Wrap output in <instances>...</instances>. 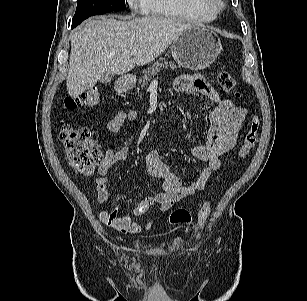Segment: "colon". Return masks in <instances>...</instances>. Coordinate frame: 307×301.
<instances>
[{"instance_id":"obj_1","label":"colon","mask_w":307,"mask_h":301,"mask_svg":"<svg viewBox=\"0 0 307 301\" xmlns=\"http://www.w3.org/2000/svg\"><path fill=\"white\" fill-rule=\"evenodd\" d=\"M218 83L225 91L236 88V80L228 72L218 75ZM239 96V93H236ZM101 104V93L97 88H91L75 98L65 101L67 108L88 107L96 108ZM260 129V119L257 115L251 117L244 134L242 144L237 152V157L243 159L254 148ZM60 139L65 148L69 165L74 173L81 176L91 175L96 166L103 160V155L93 138L91 131L84 127H77L64 123L60 129ZM212 209V201L207 200L198 211L197 225L204 228ZM169 221L172 225H190L192 215L187 209H178L170 214Z\"/></svg>"}]
</instances>
